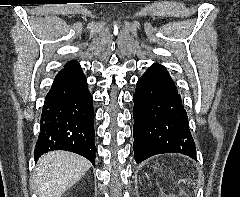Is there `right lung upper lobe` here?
<instances>
[{
    "label": "right lung upper lobe",
    "mask_w": 240,
    "mask_h": 197,
    "mask_svg": "<svg viewBox=\"0 0 240 197\" xmlns=\"http://www.w3.org/2000/svg\"><path fill=\"white\" fill-rule=\"evenodd\" d=\"M73 65H79V63L76 61H70L66 64V66H73Z\"/></svg>",
    "instance_id": "1"
}]
</instances>
